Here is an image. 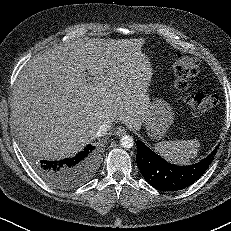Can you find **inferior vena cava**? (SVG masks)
I'll return each instance as SVG.
<instances>
[{
	"label": "inferior vena cava",
	"mask_w": 231,
	"mask_h": 231,
	"mask_svg": "<svg viewBox=\"0 0 231 231\" xmlns=\"http://www.w3.org/2000/svg\"><path fill=\"white\" fill-rule=\"evenodd\" d=\"M111 127H112V123L110 122L102 124L97 131V136L101 137L105 135Z\"/></svg>",
	"instance_id": "602c4592"
}]
</instances>
